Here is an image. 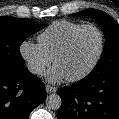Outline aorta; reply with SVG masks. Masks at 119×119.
Here are the masks:
<instances>
[{
  "label": "aorta",
  "instance_id": "aorta-1",
  "mask_svg": "<svg viewBox=\"0 0 119 119\" xmlns=\"http://www.w3.org/2000/svg\"><path fill=\"white\" fill-rule=\"evenodd\" d=\"M45 103L48 109L58 110L61 107L62 100L58 94L53 93L46 97Z\"/></svg>",
  "mask_w": 119,
  "mask_h": 119
}]
</instances>
